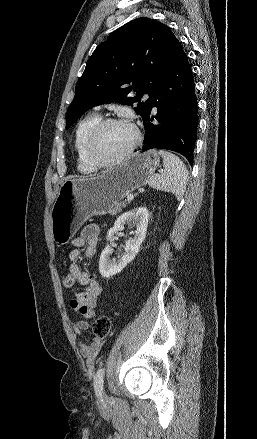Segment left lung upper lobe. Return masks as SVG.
<instances>
[{
  "mask_svg": "<svg viewBox=\"0 0 257 439\" xmlns=\"http://www.w3.org/2000/svg\"><path fill=\"white\" fill-rule=\"evenodd\" d=\"M178 39L161 22L137 18L110 34L88 59L67 110L66 129L93 105L138 103L144 119L152 104V91L168 68ZM132 86L126 87V84ZM135 90L136 96L130 97ZM148 94L149 98L142 100Z\"/></svg>",
  "mask_w": 257,
  "mask_h": 439,
  "instance_id": "1",
  "label": "left lung upper lobe"
}]
</instances>
